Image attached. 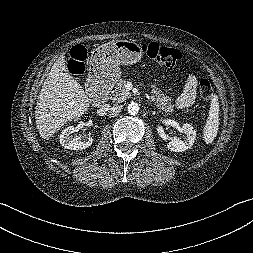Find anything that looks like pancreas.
Listing matches in <instances>:
<instances>
[{
    "label": "pancreas",
    "instance_id": "pancreas-1",
    "mask_svg": "<svg viewBox=\"0 0 253 253\" xmlns=\"http://www.w3.org/2000/svg\"><path fill=\"white\" fill-rule=\"evenodd\" d=\"M124 84V81H120L115 86V90H113V93L110 96L113 102L120 103L131 97V93L125 89ZM151 88V101L154 102V104L161 110L167 113H173L174 105L171 103V98L162 93V91L155 84H152Z\"/></svg>",
    "mask_w": 253,
    "mask_h": 253
}]
</instances>
